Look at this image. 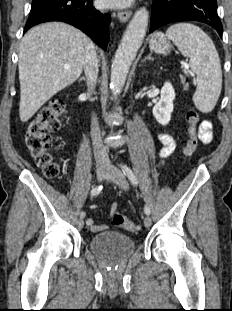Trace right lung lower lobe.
Wrapping results in <instances>:
<instances>
[{
  "mask_svg": "<svg viewBox=\"0 0 232 311\" xmlns=\"http://www.w3.org/2000/svg\"><path fill=\"white\" fill-rule=\"evenodd\" d=\"M110 20L108 13L93 7L92 0H33L24 33L40 23L62 21L79 28L106 50Z\"/></svg>",
  "mask_w": 232,
  "mask_h": 311,
  "instance_id": "1",
  "label": "right lung lower lobe"
}]
</instances>
